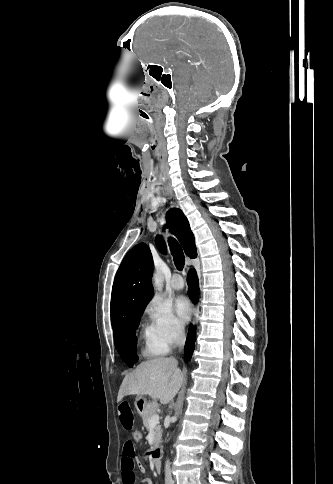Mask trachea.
<instances>
[{"label": "trachea", "instance_id": "1", "mask_svg": "<svg viewBox=\"0 0 333 484\" xmlns=\"http://www.w3.org/2000/svg\"><path fill=\"white\" fill-rule=\"evenodd\" d=\"M145 118H148V117L145 116ZM157 137L161 138L162 134L158 133ZM156 150L160 154L164 152L165 149L163 147L162 142L158 143V147H157ZM169 246H170V251H171V254L173 256V260H174V264H175L176 268L179 271H182L183 268H184V264H185V256H184V253H183L181 246L178 244V242L174 238L169 239Z\"/></svg>", "mask_w": 333, "mask_h": 484}]
</instances>
